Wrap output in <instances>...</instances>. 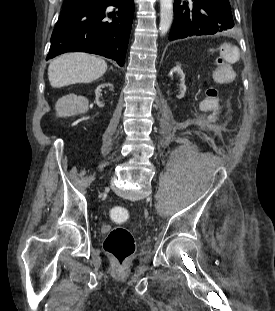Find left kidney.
Returning <instances> with one entry per match:
<instances>
[{
	"label": "left kidney",
	"mask_w": 275,
	"mask_h": 311,
	"mask_svg": "<svg viewBox=\"0 0 275 311\" xmlns=\"http://www.w3.org/2000/svg\"><path fill=\"white\" fill-rule=\"evenodd\" d=\"M178 74L180 75V77L178 76ZM169 80H174V84L173 87L175 89H180V93L177 96L178 99H181L184 97L185 92H186V86H185V75L181 69L180 66H176L174 67L170 73H169Z\"/></svg>",
	"instance_id": "obj_1"
}]
</instances>
